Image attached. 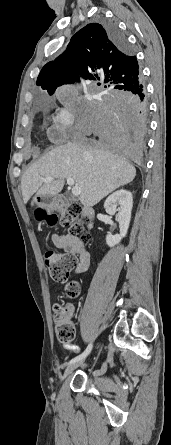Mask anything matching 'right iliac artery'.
<instances>
[{
    "label": "right iliac artery",
    "mask_w": 171,
    "mask_h": 445,
    "mask_svg": "<svg viewBox=\"0 0 171 445\" xmlns=\"http://www.w3.org/2000/svg\"><path fill=\"white\" fill-rule=\"evenodd\" d=\"M91 349H92V344L90 343L87 346L86 350L82 354H80L79 356L73 358L68 364H71L73 362H76L78 360H81V359L85 358L90 353Z\"/></svg>",
    "instance_id": "1"
}]
</instances>
